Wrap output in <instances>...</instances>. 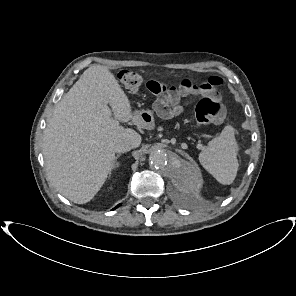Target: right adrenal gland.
I'll list each match as a JSON object with an SVG mask.
<instances>
[{"label": "right adrenal gland", "instance_id": "2a0ac1e0", "mask_svg": "<svg viewBox=\"0 0 296 296\" xmlns=\"http://www.w3.org/2000/svg\"><path fill=\"white\" fill-rule=\"evenodd\" d=\"M120 156H121V153H119V154H117V155L115 156V159H114V162H113L112 168H111V170H110V174H111V171H112V170H115L116 168L119 167V163L117 162V159H118Z\"/></svg>", "mask_w": 296, "mask_h": 296}]
</instances>
